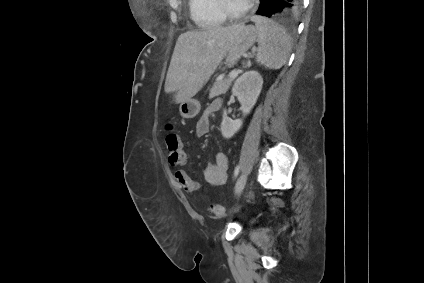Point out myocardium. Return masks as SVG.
<instances>
[{
  "instance_id": "obj_1",
  "label": "myocardium",
  "mask_w": 424,
  "mask_h": 283,
  "mask_svg": "<svg viewBox=\"0 0 424 283\" xmlns=\"http://www.w3.org/2000/svg\"><path fill=\"white\" fill-rule=\"evenodd\" d=\"M218 6L221 13L226 19L232 20V21H239L247 17V15L251 12L254 6V0L249 1L246 7L239 12H235L232 9H230L226 0H218Z\"/></svg>"
}]
</instances>
